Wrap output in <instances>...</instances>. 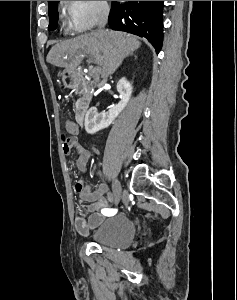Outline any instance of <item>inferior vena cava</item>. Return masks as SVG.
Listing matches in <instances>:
<instances>
[{"label":"inferior vena cava","instance_id":"1","mask_svg":"<svg viewBox=\"0 0 237 300\" xmlns=\"http://www.w3.org/2000/svg\"><path fill=\"white\" fill-rule=\"evenodd\" d=\"M109 7H102L99 23H98V33H101L102 29H104L109 15Z\"/></svg>","mask_w":237,"mask_h":300}]
</instances>
